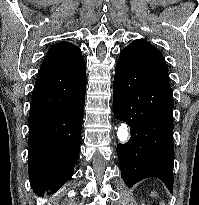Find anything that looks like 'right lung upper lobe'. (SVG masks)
I'll return each mask as SVG.
<instances>
[{"instance_id": "cb5924a9", "label": "right lung upper lobe", "mask_w": 199, "mask_h": 205, "mask_svg": "<svg viewBox=\"0 0 199 205\" xmlns=\"http://www.w3.org/2000/svg\"><path fill=\"white\" fill-rule=\"evenodd\" d=\"M84 71L85 61L81 50L69 42L61 41L48 50L37 80L47 81V86L51 89H59L66 79Z\"/></svg>"}]
</instances>
